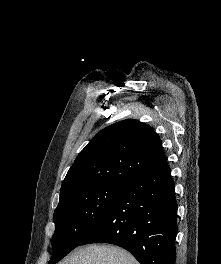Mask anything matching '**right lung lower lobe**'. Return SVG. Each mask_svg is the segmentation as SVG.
I'll use <instances>...</instances> for the list:
<instances>
[{
  "instance_id": "obj_1",
  "label": "right lung lower lobe",
  "mask_w": 221,
  "mask_h": 264,
  "mask_svg": "<svg viewBox=\"0 0 221 264\" xmlns=\"http://www.w3.org/2000/svg\"><path fill=\"white\" fill-rule=\"evenodd\" d=\"M168 165L140 175L80 245L110 243L128 250L141 264H175L177 202Z\"/></svg>"
}]
</instances>
